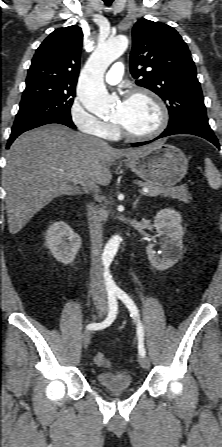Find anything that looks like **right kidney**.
<instances>
[{
  "instance_id": "right-kidney-1",
  "label": "right kidney",
  "mask_w": 222,
  "mask_h": 447,
  "mask_svg": "<svg viewBox=\"0 0 222 447\" xmlns=\"http://www.w3.org/2000/svg\"><path fill=\"white\" fill-rule=\"evenodd\" d=\"M81 244L80 236L63 221L52 224L47 230L46 246L54 258L64 265L74 261Z\"/></svg>"
}]
</instances>
